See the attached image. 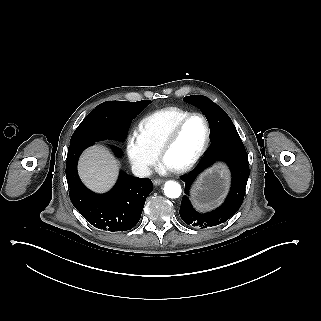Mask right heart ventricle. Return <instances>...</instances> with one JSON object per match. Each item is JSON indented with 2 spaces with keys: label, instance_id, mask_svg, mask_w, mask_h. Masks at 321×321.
<instances>
[{
  "label": "right heart ventricle",
  "instance_id": "obj_1",
  "mask_svg": "<svg viewBox=\"0 0 321 321\" xmlns=\"http://www.w3.org/2000/svg\"><path fill=\"white\" fill-rule=\"evenodd\" d=\"M192 113L188 109L170 106L153 111L139 123V131L148 144L158 153L162 141L172 126L184 116Z\"/></svg>",
  "mask_w": 321,
  "mask_h": 321
}]
</instances>
